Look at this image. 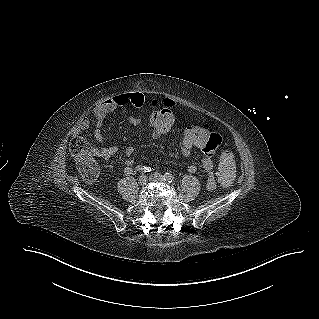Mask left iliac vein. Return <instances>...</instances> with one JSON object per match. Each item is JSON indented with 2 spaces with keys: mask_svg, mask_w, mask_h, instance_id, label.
Here are the masks:
<instances>
[{
  "mask_svg": "<svg viewBox=\"0 0 319 319\" xmlns=\"http://www.w3.org/2000/svg\"><path fill=\"white\" fill-rule=\"evenodd\" d=\"M150 179H151L152 181H158V182H163V181H165L164 176H162L161 174H158V173L152 174V175L150 176Z\"/></svg>",
  "mask_w": 319,
  "mask_h": 319,
  "instance_id": "left-iliac-vein-1",
  "label": "left iliac vein"
}]
</instances>
